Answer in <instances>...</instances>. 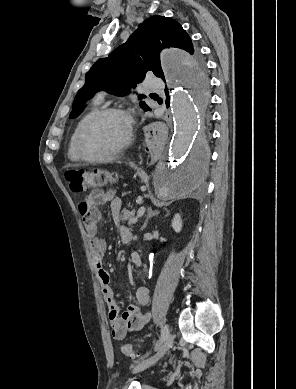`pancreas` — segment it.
Wrapping results in <instances>:
<instances>
[{
	"mask_svg": "<svg viewBox=\"0 0 296 389\" xmlns=\"http://www.w3.org/2000/svg\"><path fill=\"white\" fill-rule=\"evenodd\" d=\"M120 219L126 221L129 226L135 225L138 221V217L135 216V211H129L127 209L122 210Z\"/></svg>",
	"mask_w": 296,
	"mask_h": 389,
	"instance_id": "pancreas-1",
	"label": "pancreas"
}]
</instances>
